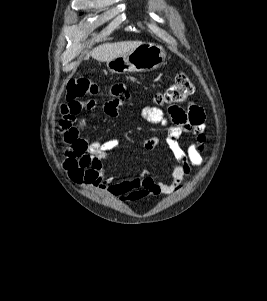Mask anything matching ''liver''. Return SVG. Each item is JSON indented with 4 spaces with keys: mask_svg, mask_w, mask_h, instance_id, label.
Returning a JSON list of instances; mask_svg holds the SVG:
<instances>
[{
    "mask_svg": "<svg viewBox=\"0 0 267 301\" xmlns=\"http://www.w3.org/2000/svg\"><path fill=\"white\" fill-rule=\"evenodd\" d=\"M143 44L141 41H123L117 43H105L99 45L91 51L93 59L99 62H107L117 57L123 56L132 49Z\"/></svg>",
    "mask_w": 267,
    "mask_h": 301,
    "instance_id": "6515ba94",
    "label": "liver"
}]
</instances>
